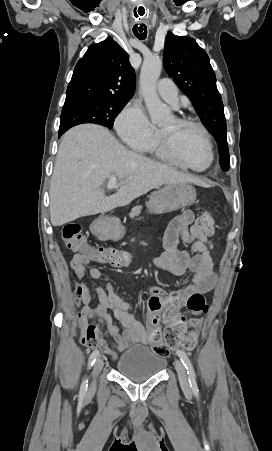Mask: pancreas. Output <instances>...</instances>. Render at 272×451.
Segmentation results:
<instances>
[{"mask_svg": "<svg viewBox=\"0 0 272 451\" xmlns=\"http://www.w3.org/2000/svg\"><path fill=\"white\" fill-rule=\"evenodd\" d=\"M142 210V206H135V208H133L131 214H130V218H133V216H138V214H140Z\"/></svg>", "mask_w": 272, "mask_h": 451, "instance_id": "1", "label": "pancreas"}]
</instances>
